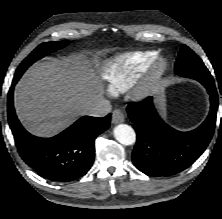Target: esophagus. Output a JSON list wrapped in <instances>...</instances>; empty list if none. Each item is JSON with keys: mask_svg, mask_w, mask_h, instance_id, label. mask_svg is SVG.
<instances>
[{"mask_svg": "<svg viewBox=\"0 0 222 219\" xmlns=\"http://www.w3.org/2000/svg\"><path fill=\"white\" fill-rule=\"evenodd\" d=\"M124 120H125V117H124V114L121 110L116 109V110L113 111V113H112V123L119 124V123L124 122Z\"/></svg>", "mask_w": 222, "mask_h": 219, "instance_id": "obj_1", "label": "esophagus"}]
</instances>
